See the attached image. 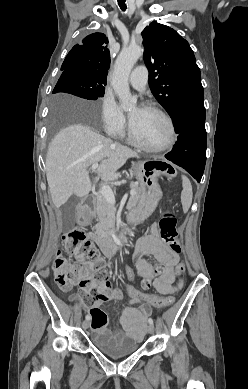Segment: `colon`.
<instances>
[{
    "instance_id": "1",
    "label": "colon",
    "mask_w": 248,
    "mask_h": 389,
    "mask_svg": "<svg viewBox=\"0 0 248 389\" xmlns=\"http://www.w3.org/2000/svg\"><path fill=\"white\" fill-rule=\"evenodd\" d=\"M159 231L162 241L171 246L175 251H180V244L177 241V219L172 213H166L159 223ZM61 249L76 256L86 263L85 268L68 262L59 256L53 264L54 280L57 286L69 289L75 284L80 285V292L88 303L97 301H107L111 298H118L106 284L110 271L104 264L99 251L86 239L84 233L73 230L65 233L62 237ZM161 272V268L156 269ZM177 275L184 273V263H179L175 267ZM125 278L127 283L123 284L129 298L143 299V303L148 307H156L157 310H165L168 305L174 302V297L155 294L153 291H144L136 288L131 283L135 279L134 268L127 267ZM144 288H149L151 280L146 279L142 283ZM179 283L175 284V292L180 289ZM90 319L92 328L96 330L104 329L108 322L107 314L100 309L99 305H90Z\"/></svg>"
}]
</instances>
